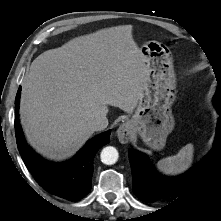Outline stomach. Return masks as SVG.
Returning a JSON list of instances; mask_svg holds the SVG:
<instances>
[{
	"label": "stomach",
	"instance_id": "obj_1",
	"mask_svg": "<svg viewBox=\"0 0 221 221\" xmlns=\"http://www.w3.org/2000/svg\"><path fill=\"white\" fill-rule=\"evenodd\" d=\"M149 69V82L128 121L130 134L139 135L154 150L164 148L174 128L172 105L176 100V78L168 47L148 41L140 48Z\"/></svg>",
	"mask_w": 221,
	"mask_h": 221
}]
</instances>
